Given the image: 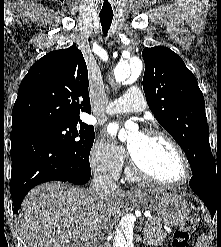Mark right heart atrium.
I'll list each match as a JSON object with an SVG mask.
<instances>
[{
    "mask_svg": "<svg viewBox=\"0 0 221 247\" xmlns=\"http://www.w3.org/2000/svg\"><path fill=\"white\" fill-rule=\"evenodd\" d=\"M89 160L93 170L116 178L123 170L126 152L104 139H97L90 149Z\"/></svg>",
    "mask_w": 221,
    "mask_h": 247,
    "instance_id": "1",
    "label": "right heart atrium"
}]
</instances>
